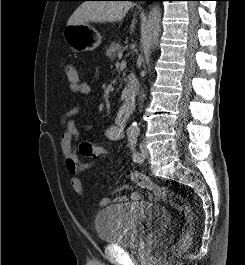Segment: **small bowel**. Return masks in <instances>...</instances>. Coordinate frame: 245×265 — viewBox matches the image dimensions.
Here are the masks:
<instances>
[{"mask_svg": "<svg viewBox=\"0 0 245 265\" xmlns=\"http://www.w3.org/2000/svg\"><path fill=\"white\" fill-rule=\"evenodd\" d=\"M93 88L86 82H80L76 92L82 95H89L93 93ZM82 109L81 105L74 106L62 118L63 131L60 136V144L63 156L65 158V167L67 172L71 175L70 185L72 190L80 195L84 196V187L82 180L78 176L80 172L88 170L92 167V163L85 162L77 154L76 141L79 137V130L75 121L72 117L80 112ZM104 136L110 141H118L123 137V128L118 124H110L106 126L103 130ZM130 190L128 185H121L112 190V195L114 198H103L97 205L99 207H104L112 202L123 203L127 200L138 201L141 195L138 192H131L130 196L120 195L122 191ZM159 196L152 192L149 194V199L156 201L159 200Z\"/></svg>", "mask_w": 245, "mask_h": 265, "instance_id": "obj_1", "label": "small bowel"}]
</instances>
